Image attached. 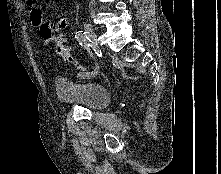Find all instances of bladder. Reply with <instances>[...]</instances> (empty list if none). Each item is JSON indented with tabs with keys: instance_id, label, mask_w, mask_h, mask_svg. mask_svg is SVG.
<instances>
[{
	"instance_id": "31cf9c89",
	"label": "bladder",
	"mask_w": 221,
	"mask_h": 174,
	"mask_svg": "<svg viewBox=\"0 0 221 174\" xmlns=\"http://www.w3.org/2000/svg\"><path fill=\"white\" fill-rule=\"evenodd\" d=\"M56 99L63 104L79 105L91 110L103 109L110 103L108 88L94 80H72L58 76L55 80Z\"/></svg>"
}]
</instances>
